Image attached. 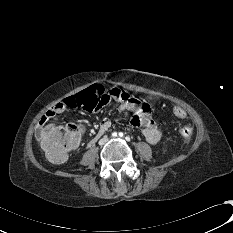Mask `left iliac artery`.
Returning <instances> with one entry per match:
<instances>
[{
	"label": "left iliac artery",
	"mask_w": 233,
	"mask_h": 233,
	"mask_svg": "<svg viewBox=\"0 0 233 233\" xmlns=\"http://www.w3.org/2000/svg\"><path fill=\"white\" fill-rule=\"evenodd\" d=\"M119 136H120V137H123V136H124V134H123L122 132H120V133H119Z\"/></svg>",
	"instance_id": "obj_1"
}]
</instances>
